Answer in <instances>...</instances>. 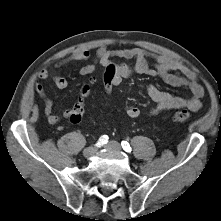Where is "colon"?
<instances>
[{
    "label": "colon",
    "instance_id": "5ec220e1",
    "mask_svg": "<svg viewBox=\"0 0 221 221\" xmlns=\"http://www.w3.org/2000/svg\"><path fill=\"white\" fill-rule=\"evenodd\" d=\"M119 64L116 61H109L106 67L101 72V78L99 81L100 87L103 89L104 98L107 101L112 100L113 93L112 87L114 84V74L119 71ZM90 93V88L88 85L82 86L79 92L78 99L73 106V112L69 117V120L73 123H78L81 121L84 111H85V100ZM190 118V113L186 110L177 111L173 114L172 119L175 122H186Z\"/></svg>",
    "mask_w": 221,
    "mask_h": 221
}]
</instances>
